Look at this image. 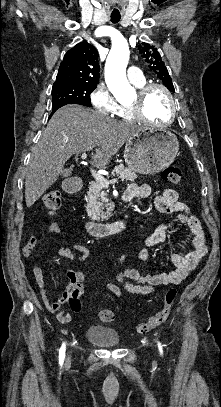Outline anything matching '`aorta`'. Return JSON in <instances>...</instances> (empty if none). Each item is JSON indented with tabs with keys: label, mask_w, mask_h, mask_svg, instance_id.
<instances>
[{
	"label": "aorta",
	"mask_w": 221,
	"mask_h": 407,
	"mask_svg": "<svg viewBox=\"0 0 221 407\" xmlns=\"http://www.w3.org/2000/svg\"><path fill=\"white\" fill-rule=\"evenodd\" d=\"M129 48L125 42L112 47L105 64V81L118 101L129 100L134 96V88L126 77L129 61Z\"/></svg>",
	"instance_id": "obj_1"
}]
</instances>
